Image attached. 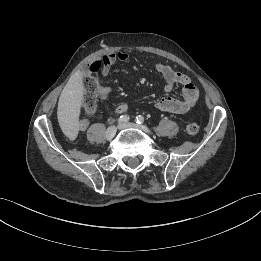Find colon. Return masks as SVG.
<instances>
[{
  "instance_id": "1",
  "label": "colon",
  "mask_w": 261,
  "mask_h": 261,
  "mask_svg": "<svg viewBox=\"0 0 261 261\" xmlns=\"http://www.w3.org/2000/svg\"><path fill=\"white\" fill-rule=\"evenodd\" d=\"M101 64L97 61L93 63L89 69L88 77L85 79V94L82 102V119L80 125L87 122V118L90 117L96 108L98 97V83L95 74L100 69ZM186 132L190 136H195L199 132V125L196 121H190L186 126Z\"/></svg>"
}]
</instances>
